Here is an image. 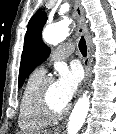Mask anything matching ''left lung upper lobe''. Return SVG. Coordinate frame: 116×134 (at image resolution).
<instances>
[{
  "mask_svg": "<svg viewBox=\"0 0 116 134\" xmlns=\"http://www.w3.org/2000/svg\"><path fill=\"white\" fill-rule=\"evenodd\" d=\"M46 21L47 14L39 10L28 23L19 70L18 87L23 85L31 72L44 62L50 54V48L44 44L41 37Z\"/></svg>",
  "mask_w": 116,
  "mask_h": 134,
  "instance_id": "left-lung-upper-lobe-1",
  "label": "left lung upper lobe"
}]
</instances>
